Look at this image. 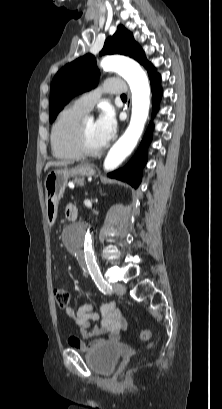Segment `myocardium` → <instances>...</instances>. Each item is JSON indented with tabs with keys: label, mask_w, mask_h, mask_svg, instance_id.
I'll use <instances>...</instances> for the list:
<instances>
[{
	"label": "myocardium",
	"mask_w": 222,
	"mask_h": 409,
	"mask_svg": "<svg viewBox=\"0 0 222 409\" xmlns=\"http://www.w3.org/2000/svg\"><path fill=\"white\" fill-rule=\"evenodd\" d=\"M85 121L86 118L83 117L78 123L74 134V147L81 156L95 157L102 153L103 147L96 150H91L87 147L85 142Z\"/></svg>",
	"instance_id": "myocardium-1"
}]
</instances>
